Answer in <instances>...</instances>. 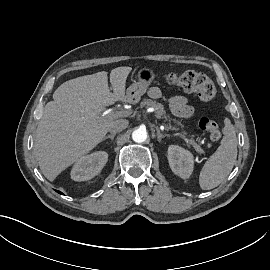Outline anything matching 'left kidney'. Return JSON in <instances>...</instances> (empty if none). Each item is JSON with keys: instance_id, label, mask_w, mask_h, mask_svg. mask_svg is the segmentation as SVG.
Instances as JSON below:
<instances>
[{"instance_id": "left-kidney-1", "label": "left kidney", "mask_w": 270, "mask_h": 270, "mask_svg": "<svg viewBox=\"0 0 270 270\" xmlns=\"http://www.w3.org/2000/svg\"><path fill=\"white\" fill-rule=\"evenodd\" d=\"M169 165L174 174L183 179L190 177L193 171V156L188 151L177 145H170L168 147L167 155Z\"/></svg>"}]
</instances>
